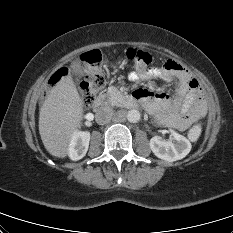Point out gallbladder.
I'll return each instance as SVG.
<instances>
[{
	"mask_svg": "<svg viewBox=\"0 0 233 233\" xmlns=\"http://www.w3.org/2000/svg\"><path fill=\"white\" fill-rule=\"evenodd\" d=\"M72 71L73 73L78 76V77H82L85 73V70L82 66V63L80 60H77L73 65H72Z\"/></svg>",
	"mask_w": 233,
	"mask_h": 233,
	"instance_id": "bac80fb5",
	"label": "gallbladder"
}]
</instances>
